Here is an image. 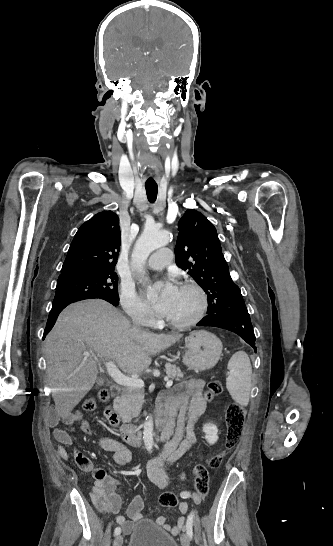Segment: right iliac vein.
I'll list each match as a JSON object with an SVG mask.
<instances>
[{
	"label": "right iliac vein",
	"mask_w": 333,
	"mask_h": 546,
	"mask_svg": "<svg viewBox=\"0 0 333 546\" xmlns=\"http://www.w3.org/2000/svg\"><path fill=\"white\" fill-rule=\"evenodd\" d=\"M123 544V537L121 535H117L113 541V546H122Z\"/></svg>",
	"instance_id": "1"
}]
</instances>
